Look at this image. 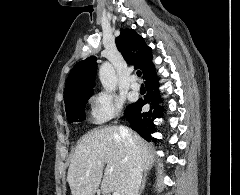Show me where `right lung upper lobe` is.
I'll use <instances>...</instances> for the list:
<instances>
[{
	"label": "right lung upper lobe",
	"instance_id": "obj_1",
	"mask_svg": "<svg viewBox=\"0 0 240 195\" xmlns=\"http://www.w3.org/2000/svg\"><path fill=\"white\" fill-rule=\"evenodd\" d=\"M115 42L125 61L142 71L145 83L155 75L151 48L146 45L143 37L133 29H121V34ZM96 71L97 63L94 56L80 61L73 67L65 86V106L76 99L90 97L93 94Z\"/></svg>",
	"mask_w": 240,
	"mask_h": 195
}]
</instances>
